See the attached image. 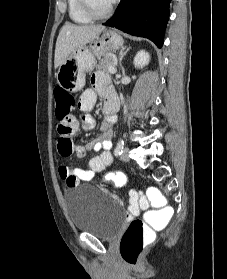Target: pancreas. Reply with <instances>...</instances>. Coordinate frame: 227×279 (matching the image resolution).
Instances as JSON below:
<instances>
[{
    "label": "pancreas",
    "mask_w": 227,
    "mask_h": 279,
    "mask_svg": "<svg viewBox=\"0 0 227 279\" xmlns=\"http://www.w3.org/2000/svg\"><path fill=\"white\" fill-rule=\"evenodd\" d=\"M110 66L116 67V63H115L114 59L111 57H105L100 60V62L96 66V69L110 73L109 72Z\"/></svg>",
    "instance_id": "1"
}]
</instances>
